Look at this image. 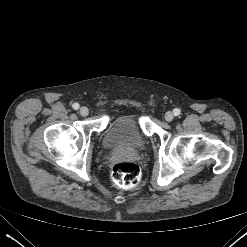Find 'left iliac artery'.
<instances>
[{
    "label": "left iliac artery",
    "mask_w": 247,
    "mask_h": 247,
    "mask_svg": "<svg viewBox=\"0 0 247 247\" xmlns=\"http://www.w3.org/2000/svg\"><path fill=\"white\" fill-rule=\"evenodd\" d=\"M173 112H174V115H175V116H179L180 113H181L180 109H178V108H175V109L173 110Z\"/></svg>",
    "instance_id": "1"
}]
</instances>
